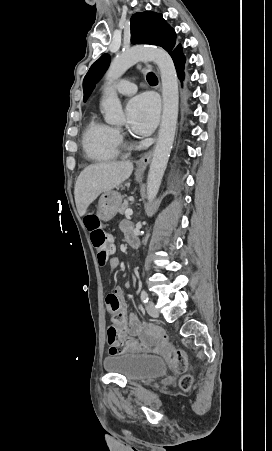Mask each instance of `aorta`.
I'll return each mask as SVG.
<instances>
[{
  "mask_svg": "<svg viewBox=\"0 0 272 451\" xmlns=\"http://www.w3.org/2000/svg\"><path fill=\"white\" fill-rule=\"evenodd\" d=\"M148 60L155 62L160 70L163 98L161 126L147 180V200L151 204L159 192L177 126L179 90L176 70L171 56L162 48H143V46H135L127 52L117 54L105 74L104 96L100 108L107 124L124 122L121 102L115 90H113L112 84L115 80L121 78L128 68H131L137 62H148Z\"/></svg>",
  "mask_w": 272,
  "mask_h": 451,
  "instance_id": "aorta-1",
  "label": "aorta"
}]
</instances>
